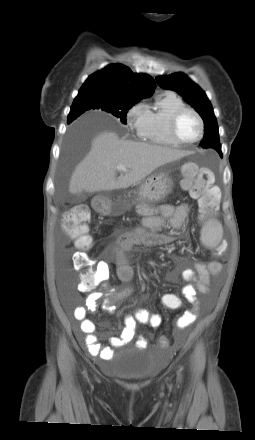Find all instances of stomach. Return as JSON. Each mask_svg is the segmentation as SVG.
Returning <instances> with one entry per match:
<instances>
[{"label": "stomach", "mask_w": 255, "mask_h": 440, "mask_svg": "<svg viewBox=\"0 0 255 440\" xmlns=\"http://www.w3.org/2000/svg\"><path fill=\"white\" fill-rule=\"evenodd\" d=\"M173 182L165 172H158L140 183L138 200L153 203L163 200L170 192ZM99 210L104 213L123 214L127 207L124 204H114L108 199H102Z\"/></svg>", "instance_id": "0dacf381"}]
</instances>
